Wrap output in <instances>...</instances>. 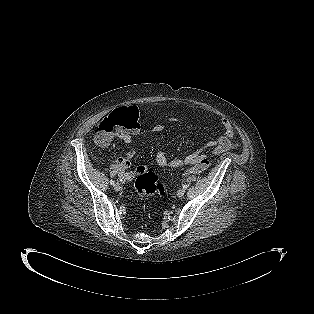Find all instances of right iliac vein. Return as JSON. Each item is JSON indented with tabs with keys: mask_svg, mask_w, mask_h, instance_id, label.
Instances as JSON below:
<instances>
[{
	"mask_svg": "<svg viewBox=\"0 0 314 314\" xmlns=\"http://www.w3.org/2000/svg\"><path fill=\"white\" fill-rule=\"evenodd\" d=\"M114 190L115 191H120L121 190V185L119 183L114 184Z\"/></svg>",
	"mask_w": 314,
	"mask_h": 314,
	"instance_id": "obj_1",
	"label": "right iliac vein"
}]
</instances>
